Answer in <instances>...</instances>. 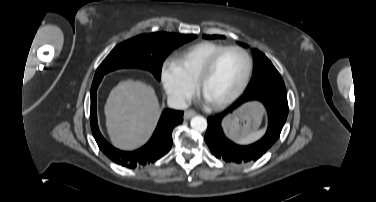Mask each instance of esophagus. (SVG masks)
Wrapping results in <instances>:
<instances>
[{
    "label": "esophagus",
    "instance_id": "esophagus-1",
    "mask_svg": "<svg viewBox=\"0 0 376 202\" xmlns=\"http://www.w3.org/2000/svg\"><path fill=\"white\" fill-rule=\"evenodd\" d=\"M195 115H196V112L194 110H187L184 113V119L188 120Z\"/></svg>",
    "mask_w": 376,
    "mask_h": 202
}]
</instances>
